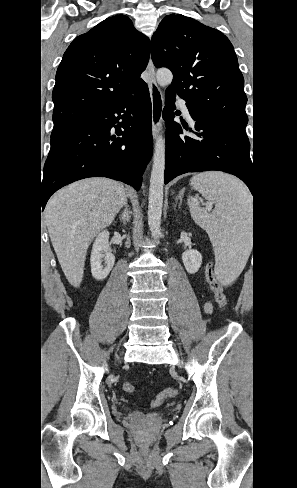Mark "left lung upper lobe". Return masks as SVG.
I'll return each instance as SVG.
<instances>
[{
	"instance_id": "1",
	"label": "left lung upper lobe",
	"mask_w": 297,
	"mask_h": 488,
	"mask_svg": "<svg viewBox=\"0 0 297 488\" xmlns=\"http://www.w3.org/2000/svg\"><path fill=\"white\" fill-rule=\"evenodd\" d=\"M157 68L167 67V90L186 101L196 119L246 134L244 78L234 48L220 31L181 14L166 16L151 41Z\"/></svg>"
}]
</instances>
